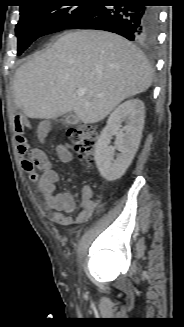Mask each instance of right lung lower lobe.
Here are the masks:
<instances>
[{"instance_id": "98d812e1", "label": "right lung lower lobe", "mask_w": 184, "mask_h": 327, "mask_svg": "<svg viewBox=\"0 0 184 327\" xmlns=\"http://www.w3.org/2000/svg\"><path fill=\"white\" fill-rule=\"evenodd\" d=\"M144 3L146 0H126L124 6L95 5L72 28L106 30L151 45L158 34V11Z\"/></svg>"}]
</instances>
